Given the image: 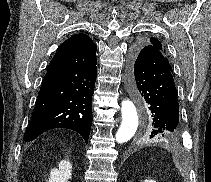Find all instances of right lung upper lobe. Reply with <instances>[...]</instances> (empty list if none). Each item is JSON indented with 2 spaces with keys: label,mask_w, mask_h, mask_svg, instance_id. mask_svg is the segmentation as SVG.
<instances>
[{
  "label": "right lung upper lobe",
  "mask_w": 211,
  "mask_h": 182,
  "mask_svg": "<svg viewBox=\"0 0 211 182\" xmlns=\"http://www.w3.org/2000/svg\"><path fill=\"white\" fill-rule=\"evenodd\" d=\"M81 35H83V34H75V35H73L71 38H76V37H79V36H81Z\"/></svg>",
  "instance_id": "cb5924a9"
}]
</instances>
